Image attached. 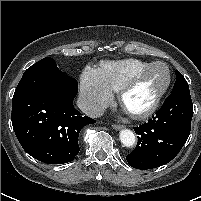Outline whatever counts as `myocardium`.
I'll list each match as a JSON object with an SVG mask.
<instances>
[{"mask_svg": "<svg viewBox=\"0 0 201 201\" xmlns=\"http://www.w3.org/2000/svg\"><path fill=\"white\" fill-rule=\"evenodd\" d=\"M162 65L167 70V80L164 87L158 92V94L154 97L152 102L145 108L139 111H128L124 106L125 97L128 92L155 66ZM172 82V72L168 64L162 61L152 62L150 65L140 70L132 77H130L120 88L118 91V100L120 105L126 110L133 118L135 119H145L150 117L152 114L156 112L158 107L160 106L164 96L168 92Z\"/></svg>", "mask_w": 201, "mask_h": 201, "instance_id": "obj_1", "label": "myocardium"}]
</instances>
